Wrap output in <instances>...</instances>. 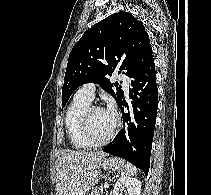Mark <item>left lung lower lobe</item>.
Instances as JSON below:
<instances>
[{
    "instance_id": "0a47b994",
    "label": "left lung lower lobe",
    "mask_w": 211,
    "mask_h": 195,
    "mask_svg": "<svg viewBox=\"0 0 211 195\" xmlns=\"http://www.w3.org/2000/svg\"><path fill=\"white\" fill-rule=\"evenodd\" d=\"M129 97L132 99V106L128 113H124V107L129 110L125 99L119 104L123 128L103 151L124 158L147 175L158 108L153 58L132 78Z\"/></svg>"
}]
</instances>
